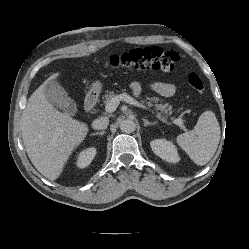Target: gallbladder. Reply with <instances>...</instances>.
<instances>
[{"mask_svg": "<svg viewBox=\"0 0 249 249\" xmlns=\"http://www.w3.org/2000/svg\"><path fill=\"white\" fill-rule=\"evenodd\" d=\"M46 99L55 107L66 114L74 115L77 112L76 103L68 96L67 92L57 81H49L44 88Z\"/></svg>", "mask_w": 249, "mask_h": 249, "instance_id": "1", "label": "gallbladder"}]
</instances>
